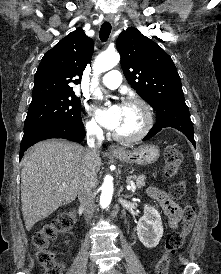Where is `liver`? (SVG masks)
Wrapping results in <instances>:
<instances>
[{
  "label": "liver",
  "instance_id": "1",
  "mask_svg": "<svg viewBox=\"0 0 221 274\" xmlns=\"http://www.w3.org/2000/svg\"><path fill=\"white\" fill-rule=\"evenodd\" d=\"M86 149L64 140L41 141L23 158L21 202L28 231L60 206L74 201L84 175ZM101 167L98 157L95 170Z\"/></svg>",
  "mask_w": 221,
  "mask_h": 274
}]
</instances>
